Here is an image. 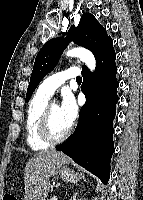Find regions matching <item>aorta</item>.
<instances>
[{"label":"aorta","mask_w":143,"mask_h":200,"mask_svg":"<svg viewBox=\"0 0 143 200\" xmlns=\"http://www.w3.org/2000/svg\"><path fill=\"white\" fill-rule=\"evenodd\" d=\"M65 54L67 57L79 58L83 63H85L88 66V68L91 71L95 69V66H96L95 57L92 54V52L89 51L88 49L83 48V47H76V48L69 49L68 51H66Z\"/></svg>","instance_id":"1"}]
</instances>
